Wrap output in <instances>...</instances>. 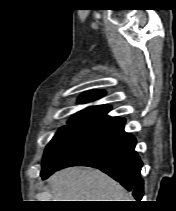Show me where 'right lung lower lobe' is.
<instances>
[{"label": "right lung lower lobe", "instance_id": "98d812e1", "mask_svg": "<svg viewBox=\"0 0 176 211\" xmlns=\"http://www.w3.org/2000/svg\"><path fill=\"white\" fill-rule=\"evenodd\" d=\"M125 119L115 117L98 124L68 147L49 166L42 168L46 179L55 171L68 166H91L120 182L140 201L143 196V165L135 151L136 139L124 131Z\"/></svg>", "mask_w": 176, "mask_h": 211}]
</instances>
